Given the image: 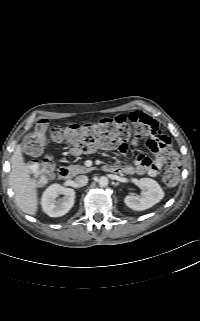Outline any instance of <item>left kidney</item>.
<instances>
[{
    "instance_id": "5707ae66",
    "label": "left kidney",
    "mask_w": 200,
    "mask_h": 321,
    "mask_svg": "<svg viewBox=\"0 0 200 321\" xmlns=\"http://www.w3.org/2000/svg\"><path fill=\"white\" fill-rule=\"evenodd\" d=\"M137 185L146 189V191L141 196L128 195L124 199L125 204L133 210H146L160 202L164 197L160 185L151 178H141L137 181Z\"/></svg>"
}]
</instances>
